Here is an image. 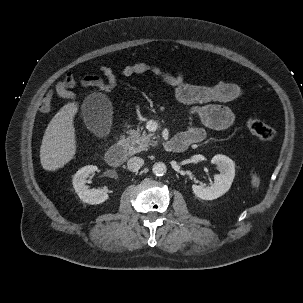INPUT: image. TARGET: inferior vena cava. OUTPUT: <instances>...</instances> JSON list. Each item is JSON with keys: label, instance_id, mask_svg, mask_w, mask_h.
<instances>
[{"label": "inferior vena cava", "instance_id": "obj_1", "mask_svg": "<svg viewBox=\"0 0 303 303\" xmlns=\"http://www.w3.org/2000/svg\"><path fill=\"white\" fill-rule=\"evenodd\" d=\"M144 164V160L140 157H132L128 160L127 168L132 171H138Z\"/></svg>", "mask_w": 303, "mask_h": 303}]
</instances>
